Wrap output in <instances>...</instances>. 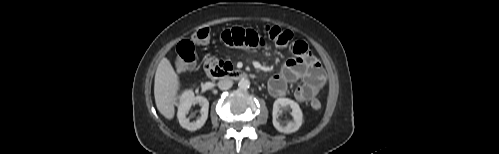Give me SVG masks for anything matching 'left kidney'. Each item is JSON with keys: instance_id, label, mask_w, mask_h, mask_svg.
Instances as JSON below:
<instances>
[{"instance_id": "obj_1", "label": "left kidney", "mask_w": 499, "mask_h": 154, "mask_svg": "<svg viewBox=\"0 0 499 154\" xmlns=\"http://www.w3.org/2000/svg\"><path fill=\"white\" fill-rule=\"evenodd\" d=\"M293 120L281 123L278 117L284 111H290ZM273 125L279 132L293 133L296 132L303 123V113L298 103L288 98H278L273 104Z\"/></svg>"}]
</instances>
